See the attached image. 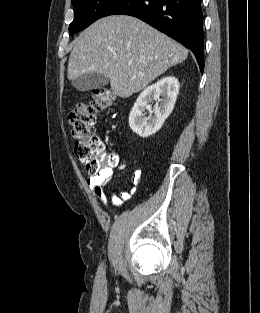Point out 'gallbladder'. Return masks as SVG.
I'll list each match as a JSON object with an SVG mask.
<instances>
[{"label":"gallbladder","instance_id":"bac80fb5","mask_svg":"<svg viewBox=\"0 0 260 313\" xmlns=\"http://www.w3.org/2000/svg\"><path fill=\"white\" fill-rule=\"evenodd\" d=\"M109 83V78L99 73H87L72 81V85L79 91H87L103 87Z\"/></svg>","mask_w":260,"mask_h":313}]
</instances>
